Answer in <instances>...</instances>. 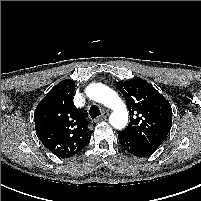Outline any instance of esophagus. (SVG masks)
<instances>
[{
	"label": "esophagus",
	"mask_w": 201,
	"mask_h": 201,
	"mask_svg": "<svg viewBox=\"0 0 201 201\" xmlns=\"http://www.w3.org/2000/svg\"><path fill=\"white\" fill-rule=\"evenodd\" d=\"M108 115H109V112L108 111H104L102 113V115L99 118H97L96 121L98 122V121L104 120V119H106L108 117Z\"/></svg>",
	"instance_id": "1"
}]
</instances>
